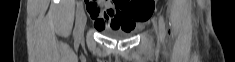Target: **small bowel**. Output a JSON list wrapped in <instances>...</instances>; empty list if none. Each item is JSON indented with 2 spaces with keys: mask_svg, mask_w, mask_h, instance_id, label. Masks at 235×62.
<instances>
[{
  "mask_svg": "<svg viewBox=\"0 0 235 62\" xmlns=\"http://www.w3.org/2000/svg\"><path fill=\"white\" fill-rule=\"evenodd\" d=\"M125 3L126 1H104L90 5L87 10L94 22L95 28L98 31L108 29L132 31L139 24L143 23L137 22L125 14Z\"/></svg>",
  "mask_w": 235,
  "mask_h": 62,
  "instance_id": "c3829d8e",
  "label": "small bowel"
}]
</instances>
